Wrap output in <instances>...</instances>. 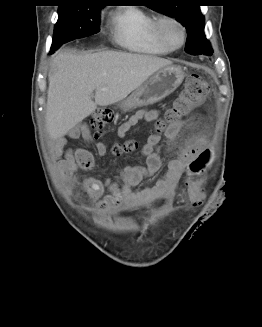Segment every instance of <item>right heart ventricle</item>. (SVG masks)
<instances>
[{"instance_id": "obj_1", "label": "right heart ventricle", "mask_w": 262, "mask_h": 327, "mask_svg": "<svg viewBox=\"0 0 262 327\" xmlns=\"http://www.w3.org/2000/svg\"><path fill=\"white\" fill-rule=\"evenodd\" d=\"M156 16L144 10L127 7L118 10L112 19L113 39L120 47L137 53L166 55V47L155 32Z\"/></svg>"}]
</instances>
